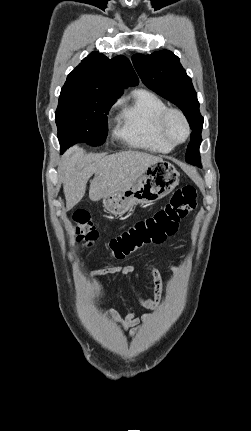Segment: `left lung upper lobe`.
Masks as SVG:
<instances>
[{
	"label": "left lung upper lobe",
	"instance_id": "obj_1",
	"mask_svg": "<svg viewBox=\"0 0 251 431\" xmlns=\"http://www.w3.org/2000/svg\"><path fill=\"white\" fill-rule=\"evenodd\" d=\"M134 67L143 83L158 95L178 106L186 116L191 132L185 160L201 167L199 147L202 141L203 117L191 78L171 51H156L151 55L132 56Z\"/></svg>",
	"mask_w": 251,
	"mask_h": 431
}]
</instances>
